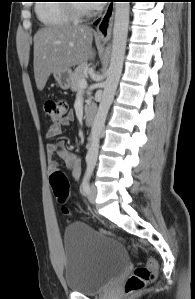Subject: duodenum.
<instances>
[{
    "instance_id": "obj_1",
    "label": "duodenum",
    "mask_w": 195,
    "mask_h": 299,
    "mask_svg": "<svg viewBox=\"0 0 195 299\" xmlns=\"http://www.w3.org/2000/svg\"><path fill=\"white\" fill-rule=\"evenodd\" d=\"M96 117V106L89 104L84 107L83 118L87 125H92Z\"/></svg>"
}]
</instances>
